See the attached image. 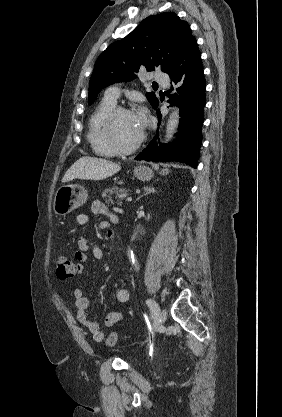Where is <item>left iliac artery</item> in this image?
<instances>
[{
	"label": "left iliac artery",
	"instance_id": "44dca946",
	"mask_svg": "<svg viewBox=\"0 0 282 417\" xmlns=\"http://www.w3.org/2000/svg\"><path fill=\"white\" fill-rule=\"evenodd\" d=\"M146 304L148 305V307L151 310L152 317H156L158 312H159V307H158V304L156 303V301L153 300V299H147Z\"/></svg>",
	"mask_w": 282,
	"mask_h": 417
}]
</instances>
